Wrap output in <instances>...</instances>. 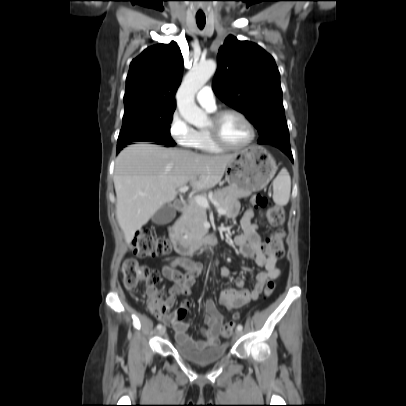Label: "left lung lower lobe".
<instances>
[{"instance_id":"obj_1","label":"left lung lower lobe","mask_w":406,"mask_h":406,"mask_svg":"<svg viewBox=\"0 0 406 406\" xmlns=\"http://www.w3.org/2000/svg\"><path fill=\"white\" fill-rule=\"evenodd\" d=\"M259 144H268V145H274L275 147L279 148L282 150L285 154L289 156L291 161L293 162V156L290 148V144H284V143H275V142H265V143H260Z\"/></svg>"}]
</instances>
